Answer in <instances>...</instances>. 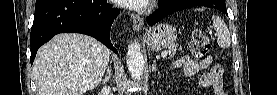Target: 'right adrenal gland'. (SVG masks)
<instances>
[{
    "label": "right adrenal gland",
    "instance_id": "obj_1",
    "mask_svg": "<svg viewBox=\"0 0 277 95\" xmlns=\"http://www.w3.org/2000/svg\"><path fill=\"white\" fill-rule=\"evenodd\" d=\"M110 79H111V68L110 66H108L106 69V76L102 80V84H107L110 81Z\"/></svg>",
    "mask_w": 277,
    "mask_h": 95
}]
</instances>
